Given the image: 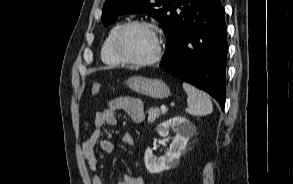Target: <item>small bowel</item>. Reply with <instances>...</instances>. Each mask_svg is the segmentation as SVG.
<instances>
[{
	"mask_svg": "<svg viewBox=\"0 0 293 184\" xmlns=\"http://www.w3.org/2000/svg\"><path fill=\"white\" fill-rule=\"evenodd\" d=\"M118 111L125 112L134 123H140L145 118L142 101L131 96L113 98L108 102L105 109L98 111L95 114V129L89 138L82 144V153L88 162L92 184H105L102 178L96 173L98 161L95 156V147L98 145L105 153H112L114 151L112 142L103 137L102 128L106 125L114 126L117 124ZM122 140L127 146H134L135 141L131 134H124ZM117 184H144V181L140 176L123 174Z\"/></svg>",
	"mask_w": 293,
	"mask_h": 184,
	"instance_id": "c3829d8e",
	"label": "small bowel"
}]
</instances>
